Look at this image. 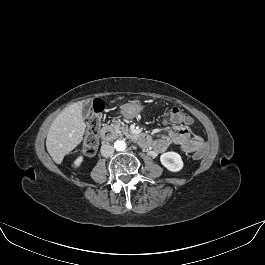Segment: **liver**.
Wrapping results in <instances>:
<instances>
[{
    "instance_id": "6515ba94",
    "label": "liver",
    "mask_w": 265,
    "mask_h": 265,
    "mask_svg": "<svg viewBox=\"0 0 265 265\" xmlns=\"http://www.w3.org/2000/svg\"><path fill=\"white\" fill-rule=\"evenodd\" d=\"M82 109V101L70 105L54 119L49 128L46 148L57 164L83 140L86 125Z\"/></svg>"
}]
</instances>
